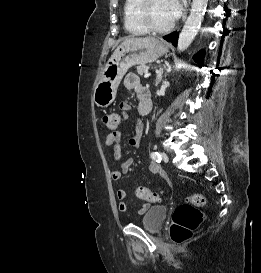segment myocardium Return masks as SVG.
<instances>
[{
  "instance_id": "1",
  "label": "myocardium",
  "mask_w": 261,
  "mask_h": 273,
  "mask_svg": "<svg viewBox=\"0 0 261 273\" xmlns=\"http://www.w3.org/2000/svg\"><path fill=\"white\" fill-rule=\"evenodd\" d=\"M153 0H141L139 6H138V20L140 23L151 32H157V33H164L170 31L174 26L176 21L174 20L170 24L166 26H157L153 23L151 18V5Z\"/></svg>"
}]
</instances>
